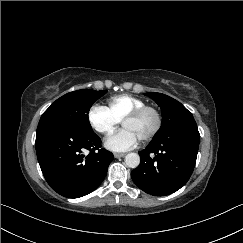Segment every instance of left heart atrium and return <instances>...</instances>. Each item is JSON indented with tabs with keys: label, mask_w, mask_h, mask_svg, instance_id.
Masks as SVG:
<instances>
[{
	"label": "left heart atrium",
	"mask_w": 243,
	"mask_h": 243,
	"mask_svg": "<svg viewBox=\"0 0 243 243\" xmlns=\"http://www.w3.org/2000/svg\"><path fill=\"white\" fill-rule=\"evenodd\" d=\"M138 143L136 135L128 128L112 132L105 140V146L111 151L124 152L134 148Z\"/></svg>",
	"instance_id": "1"
}]
</instances>
